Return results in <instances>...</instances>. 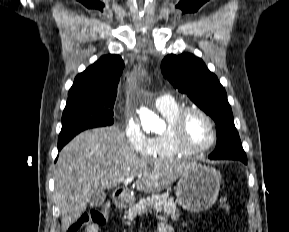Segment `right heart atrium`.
Returning <instances> with one entry per match:
<instances>
[{
    "instance_id": "1",
    "label": "right heart atrium",
    "mask_w": 289,
    "mask_h": 232,
    "mask_svg": "<svg viewBox=\"0 0 289 232\" xmlns=\"http://www.w3.org/2000/svg\"><path fill=\"white\" fill-rule=\"evenodd\" d=\"M123 132L132 150L140 155H150L151 138L142 130L139 121L135 117L125 116Z\"/></svg>"
}]
</instances>
